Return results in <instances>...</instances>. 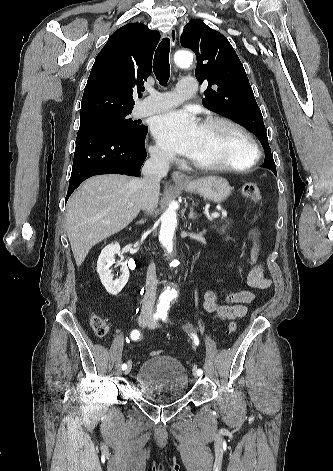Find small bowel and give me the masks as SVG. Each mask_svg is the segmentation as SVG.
<instances>
[{
    "label": "small bowel",
    "instance_id": "c3829d8e",
    "mask_svg": "<svg viewBox=\"0 0 333 471\" xmlns=\"http://www.w3.org/2000/svg\"><path fill=\"white\" fill-rule=\"evenodd\" d=\"M249 240L248 262L251 269L247 276V284L253 289H268L271 287L272 281L266 276L264 267L257 263L259 245L256 230L249 233ZM255 299V293L250 290L231 291L224 297H220L215 291L208 290L203 294V308L215 320L232 321L245 317L248 313L247 305L254 302Z\"/></svg>",
    "mask_w": 333,
    "mask_h": 471
}]
</instances>
